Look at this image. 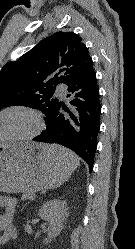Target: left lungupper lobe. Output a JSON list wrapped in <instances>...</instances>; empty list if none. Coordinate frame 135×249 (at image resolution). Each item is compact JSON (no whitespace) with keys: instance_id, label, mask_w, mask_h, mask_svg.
Here are the masks:
<instances>
[{"instance_id":"5c2ea615","label":"left lung upper lobe","mask_w":135,"mask_h":249,"mask_svg":"<svg viewBox=\"0 0 135 249\" xmlns=\"http://www.w3.org/2000/svg\"><path fill=\"white\" fill-rule=\"evenodd\" d=\"M88 49L74 32H56L0 71V110L24 105L46 116L57 105L56 85L81 77L92 65Z\"/></svg>"}]
</instances>
